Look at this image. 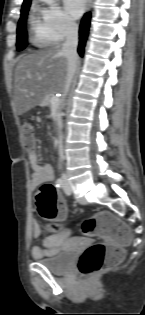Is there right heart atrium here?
Returning a JSON list of instances; mask_svg holds the SVG:
<instances>
[{
	"mask_svg": "<svg viewBox=\"0 0 145 315\" xmlns=\"http://www.w3.org/2000/svg\"><path fill=\"white\" fill-rule=\"evenodd\" d=\"M39 20L51 42L59 43L77 31V25L57 4L38 9Z\"/></svg>",
	"mask_w": 145,
	"mask_h": 315,
	"instance_id": "obj_1",
	"label": "right heart atrium"
}]
</instances>
